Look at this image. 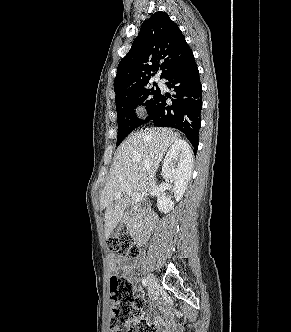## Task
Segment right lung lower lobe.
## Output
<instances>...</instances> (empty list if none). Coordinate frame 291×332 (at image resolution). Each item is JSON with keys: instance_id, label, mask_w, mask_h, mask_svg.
Instances as JSON below:
<instances>
[{"instance_id": "98d812e1", "label": "right lung lower lobe", "mask_w": 291, "mask_h": 332, "mask_svg": "<svg viewBox=\"0 0 291 332\" xmlns=\"http://www.w3.org/2000/svg\"><path fill=\"white\" fill-rule=\"evenodd\" d=\"M164 78L169 81L168 88L175 92L172 104L166 103L170 96L160 92L142 124L151 120L156 126L182 131L196 153L201 126L202 87L194 57L171 70Z\"/></svg>"}]
</instances>
